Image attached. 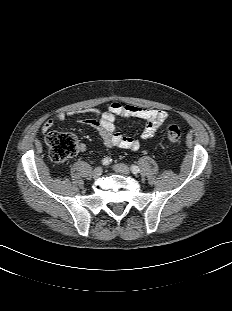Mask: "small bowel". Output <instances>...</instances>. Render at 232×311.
<instances>
[{
	"label": "small bowel",
	"mask_w": 232,
	"mask_h": 311,
	"mask_svg": "<svg viewBox=\"0 0 232 311\" xmlns=\"http://www.w3.org/2000/svg\"><path fill=\"white\" fill-rule=\"evenodd\" d=\"M84 114L90 115V117L82 119L81 122L95 129L99 133L105 147L121 148L132 151L139 149L140 142L138 139L125 136L118 132L115 124L117 117H135L143 119L146 124L141 132V139L144 141L152 139L160 125L167 118V113L163 110L136 105H122L119 102H113L106 111L89 108L79 111L59 113L47 120L43 124L41 130L43 133L47 134L57 123L63 122L71 116ZM85 149L86 145L80 143L79 150L83 152Z\"/></svg>",
	"instance_id": "obj_1"
}]
</instances>
